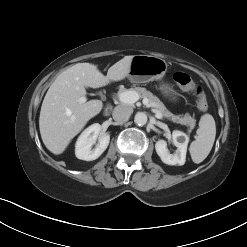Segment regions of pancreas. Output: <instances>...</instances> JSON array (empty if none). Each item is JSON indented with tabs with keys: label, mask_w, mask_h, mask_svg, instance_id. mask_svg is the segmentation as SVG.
<instances>
[{
	"label": "pancreas",
	"mask_w": 247,
	"mask_h": 247,
	"mask_svg": "<svg viewBox=\"0 0 247 247\" xmlns=\"http://www.w3.org/2000/svg\"><path fill=\"white\" fill-rule=\"evenodd\" d=\"M125 91H134L136 92L140 98H144L148 100V103L151 107H154L156 111L160 112L163 117L179 123L181 125H185L188 127V132L190 133L192 129H194L196 120L190 116V114L186 113L184 116L181 115H174L172 114L165 105L159 100L158 97L153 95L150 91H148L146 88L142 87H135L130 89H120L119 93L125 92Z\"/></svg>",
	"instance_id": "pancreas-1"
}]
</instances>
